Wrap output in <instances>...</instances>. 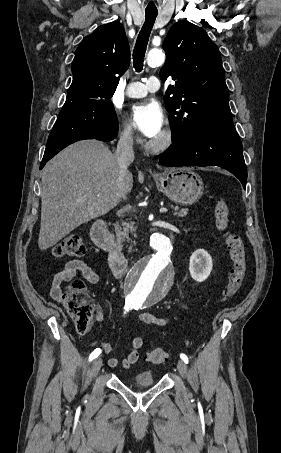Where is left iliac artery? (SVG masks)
Instances as JSON below:
<instances>
[{
    "instance_id": "obj_1",
    "label": "left iliac artery",
    "mask_w": 281,
    "mask_h": 453,
    "mask_svg": "<svg viewBox=\"0 0 281 453\" xmlns=\"http://www.w3.org/2000/svg\"><path fill=\"white\" fill-rule=\"evenodd\" d=\"M135 310H138L139 308L141 309V306H133ZM181 359L188 364V357L185 354H180Z\"/></svg>"
}]
</instances>
